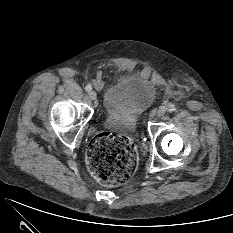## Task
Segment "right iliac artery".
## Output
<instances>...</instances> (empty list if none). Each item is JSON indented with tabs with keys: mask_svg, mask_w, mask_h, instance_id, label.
I'll list each match as a JSON object with an SVG mask.
<instances>
[{
	"mask_svg": "<svg viewBox=\"0 0 233 233\" xmlns=\"http://www.w3.org/2000/svg\"><path fill=\"white\" fill-rule=\"evenodd\" d=\"M85 90H86L87 92H90V91L92 90V86L88 84V85L85 87Z\"/></svg>",
	"mask_w": 233,
	"mask_h": 233,
	"instance_id": "right-iliac-artery-1",
	"label": "right iliac artery"
}]
</instances>
